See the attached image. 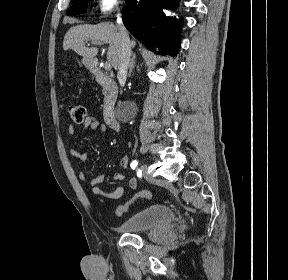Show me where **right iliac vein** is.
Instances as JSON below:
<instances>
[{"mask_svg": "<svg viewBox=\"0 0 288 280\" xmlns=\"http://www.w3.org/2000/svg\"><path fill=\"white\" fill-rule=\"evenodd\" d=\"M141 170L145 175H148L147 173V166L146 165H141Z\"/></svg>", "mask_w": 288, "mask_h": 280, "instance_id": "right-iliac-vein-1", "label": "right iliac vein"}]
</instances>
